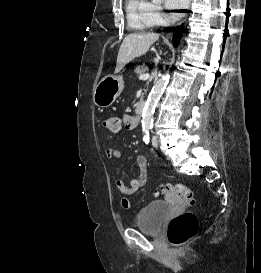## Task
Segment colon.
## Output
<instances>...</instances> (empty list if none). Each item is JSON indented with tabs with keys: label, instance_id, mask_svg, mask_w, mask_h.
<instances>
[{
	"label": "colon",
	"instance_id": "obj_1",
	"mask_svg": "<svg viewBox=\"0 0 261 273\" xmlns=\"http://www.w3.org/2000/svg\"><path fill=\"white\" fill-rule=\"evenodd\" d=\"M105 128L112 132L121 129V119L118 116H109L103 120ZM163 193L169 196H177L187 205H194L195 195L184 184L167 185ZM198 232V220L192 212H183L174 217L169 223L167 236L169 241L176 246L183 245L193 239Z\"/></svg>",
	"mask_w": 261,
	"mask_h": 273
}]
</instances>
